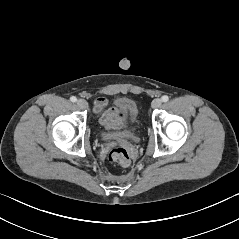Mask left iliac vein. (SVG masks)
<instances>
[{"instance_id":"obj_1","label":"left iliac vein","mask_w":239,"mask_h":239,"mask_svg":"<svg viewBox=\"0 0 239 239\" xmlns=\"http://www.w3.org/2000/svg\"><path fill=\"white\" fill-rule=\"evenodd\" d=\"M161 104H162V100L160 98H156L152 101L151 106L153 109H156V108H159Z\"/></svg>"}]
</instances>
